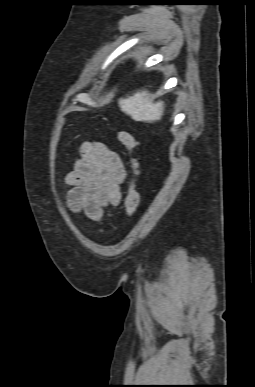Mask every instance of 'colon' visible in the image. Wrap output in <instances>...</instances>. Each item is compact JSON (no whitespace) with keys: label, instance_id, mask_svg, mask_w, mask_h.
I'll return each mask as SVG.
<instances>
[{"label":"colon","instance_id":"colon-1","mask_svg":"<svg viewBox=\"0 0 255 387\" xmlns=\"http://www.w3.org/2000/svg\"><path fill=\"white\" fill-rule=\"evenodd\" d=\"M118 140L122 143L129 154L128 166L131 169L132 179L129 183L125 199V211L126 215L131 217L134 215L139 206V194L136 190V178L139 174V165L137 159L132 156V153L137 146V141L135 137L127 131H120L118 133Z\"/></svg>","mask_w":255,"mask_h":387}]
</instances>
